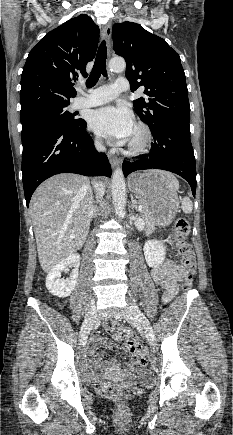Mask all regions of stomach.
Listing matches in <instances>:
<instances>
[{"label": "stomach", "mask_w": 233, "mask_h": 435, "mask_svg": "<svg viewBox=\"0 0 233 435\" xmlns=\"http://www.w3.org/2000/svg\"><path fill=\"white\" fill-rule=\"evenodd\" d=\"M128 184L130 190L149 207L155 224L165 226L171 223L180 203L178 181L172 174L159 170L134 173Z\"/></svg>", "instance_id": "0dacf381"}]
</instances>
